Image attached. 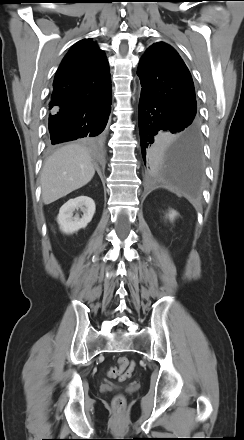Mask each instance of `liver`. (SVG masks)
Here are the masks:
<instances>
[{"mask_svg": "<svg viewBox=\"0 0 244 440\" xmlns=\"http://www.w3.org/2000/svg\"><path fill=\"white\" fill-rule=\"evenodd\" d=\"M95 174L88 149L68 144L57 149L44 163L40 183L42 200L48 205L83 187Z\"/></svg>", "mask_w": 244, "mask_h": 440, "instance_id": "6515ba94", "label": "liver"}]
</instances>
